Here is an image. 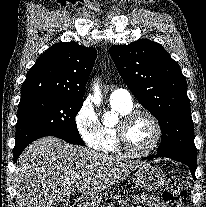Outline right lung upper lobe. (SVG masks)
Listing matches in <instances>:
<instances>
[{"label":"right lung upper lobe","instance_id":"cb5924a9","mask_svg":"<svg viewBox=\"0 0 206 207\" xmlns=\"http://www.w3.org/2000/svg\"><path fill=\"white\" fill-rule=\"evenodd\" d=\"M97 52L76 42H61L47 49L29 70L21 100L56 96L83 101L85 85Z\"/></svg>","mask_w":206,"mask_h":207}]
</instances>
